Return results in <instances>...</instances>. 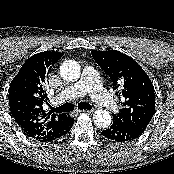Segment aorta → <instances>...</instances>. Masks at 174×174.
Returning <instances> with one entry per match:
<instances>
[{
  "label": "aorta",
  "mask_w": 174,
  "mask_h": 174,
  "mask_svg": "<svg viewBox=\"0 0 174 174\" xmlns=\"http://www.w3.org/2000/svg\"><path fill=\"white\" fill-rule=\"evenodd\" d=\"M60 75L66 81H77L81 75V67L74 60H66L60 66ZM93 121L99 128H108L111 125V114L103 109H98L93 115Z\"/></svg>",
  "instance_id": "obj_1"
}]
</instances>
